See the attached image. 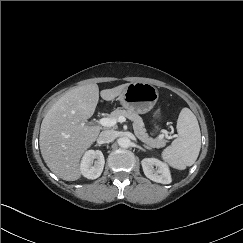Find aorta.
Instances as JSON below:
<instances>
[{
	"instance_id": "aorta-1",
	"label": "aorta",
	"mask_w": 243,
	"mask_h": 243,
	"mask_svg": "<svg viewBox=\"0 0 243 243\" xmlns=\"http://www.w3.org/2000/svg\"><path fill=\"white\" fill-rule=\"evenodd\" d=\"M118 144L122 148H128L131 146V140L128 137H121L118 140Z\"/></svg>"
}]
</instances>
